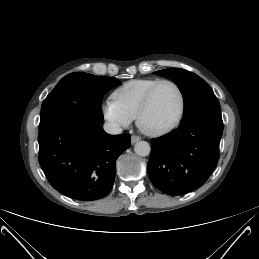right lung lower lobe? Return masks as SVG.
<instances>
[{
    "label": "right lung lower lobe",
    "mask_w": 259,
    "mask_h": 259,
    "mask_svg": "<svg viewBox=\"0 0 259 259\" xmlns=\"http://www.w3.org/2000/svg\"><path fill=\"white\" fill-rule=\"evenodd\" d=\"M130 135H109L98 122L59 119L40 127L39 163L50 184L80 201L106 196L113 187L116 159Z\"/></svg>",
    "instance_id": "obj_1"
}]
</instances>
